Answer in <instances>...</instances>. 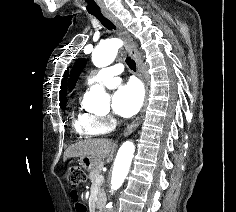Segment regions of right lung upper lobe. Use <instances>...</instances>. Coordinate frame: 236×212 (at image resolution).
I'll return each mask as SVG.
<instances>
[{
    "instance_id": "cb5924a9",
    "label": "right lung upper lobe",
    "mask_w": 236,
    "mask_h": 212,
    "mask_svg": "<svg viewBox=\"0 0 236 212\" xmlns=\"http://www.w3.org/2000/svg\"><path fill=\"white\" fill-rule=\"evenodd\" d=\"M67 72L68 71L65 72L64 78H63L62 83H61L60 101L66 100V98H65L66 86L65 85H66Z\"/></svg>"
}]
</instances>
